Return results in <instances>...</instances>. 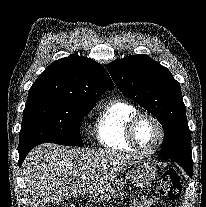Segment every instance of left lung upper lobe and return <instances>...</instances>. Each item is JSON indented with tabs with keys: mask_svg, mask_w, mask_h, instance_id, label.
<instances>
[{
	"mask_svg": "<svg viewBox=\"0 0 206 207\" xmlns=\"http://www.w3.org/2000/svg\"><path fill=\"white\" fill-rule=\"evenodd\" d=\"M107 69L118 88L152 113L163 126L165 140L159 157L193 167L181 88L169 70L142 54L115 60Z\"/></svg>",
	"mask_w": 206,
	"mask_h": 207,
	"instance_id": "1",
	"label": "left lung upper lobe"
}]
</instances>
